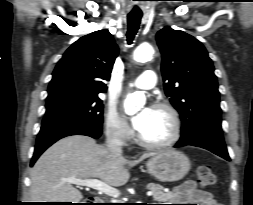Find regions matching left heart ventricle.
I'll return each instance as SVG.
<instances>
[{
  "label": "left heart ventricle",
  "instance_id": "b2bd125f",
  "mask_svg": "<svg viewBox=\"0 0 253 205\" xmlns=\"http://www.w3.org/2000/svg\"><path fill=\"white\" fill-rule=\"evenodd\" d=\"M172 123L169 115L160 109H152V112L139 134L146 140L160 142L170 137Z\"/></svg>",
  "mask_w": 253,
  "mask_h": 205
}]
</instances>
